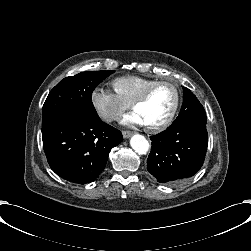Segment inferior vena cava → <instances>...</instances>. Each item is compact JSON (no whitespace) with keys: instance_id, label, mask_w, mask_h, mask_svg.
<instances>
[{"instance_id":"inferior-vena-cava-1","label":"inferior vena cava","mask_w":251,"mask_h":251,"mask_svg":"<svg viewBox=\"0 0 251 251\" xmlns=\"http://www.w3.org/2000/svg\"><path fill=\"white\" fill-rule=\"evenodd\" d=\"M122 119V114L120 113H110L105 115L104 120L106 122H111V121H120Z\"/></svg>"}]
</instances>
